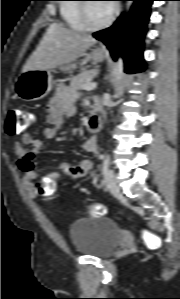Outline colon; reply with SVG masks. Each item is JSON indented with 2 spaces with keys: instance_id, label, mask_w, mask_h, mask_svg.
Returning <instances> with one entry per match:
<instances>
[{
  "instance_id": "obj_1",
  "label": "colon",
  "mask_w": 180,
  "mask_h": 299,
  "mask_svg": "<svg viewBox=\"0 0 180 299\" xmlns=\"http://www.w3.org/2000/svg\"><path fill=\"white\" fill-rule=\"evenodd\" d=\"M33 119V114L21 108L11 109L5 124L6 132L9 135H18L31 125ZM37 189L39 195L44 198H50L55 193L54 183L38 182ZM88 212L92 216H101L105 213V207L102 204L95 203L89 206ZM143 238L149 248L155 249L161 244L160 236L148 230L143 231Z\"/></svg>"
}]
</instances>
